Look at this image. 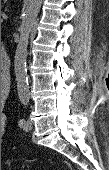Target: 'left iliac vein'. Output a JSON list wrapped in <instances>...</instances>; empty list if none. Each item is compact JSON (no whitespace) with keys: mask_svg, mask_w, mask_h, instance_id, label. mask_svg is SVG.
Returning <instances> with one entry per match:
<instances>
[{"mask_svg":"<svg viewBox=\"0 0 109 170\" xmlns=\"http://www.w3.org/2000/svg\"><path fill=\"white\" fill-rule=\"evenodd\" d=\"M22 127L25 131H30L33 127L31 120H26Z\"/></svg>","mask_w":109,"mask_h":170,"instance_id":"left-iliac-vein-1","label":"left iliac vein"}]
</instances>
